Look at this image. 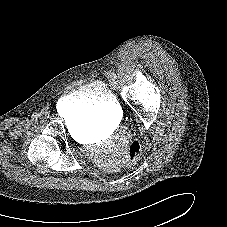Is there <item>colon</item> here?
<instances>
[{
	"instance_id": "1",
	"label": "colon",
	"mask_w": 227,
	"mask_h": 227,
	"mask_svg": "<svg viewBox=\"0 0 227 227\" xmlns=\"http://www.w3.org/2000/svg\"><path fill=\"white\" fill-rule=\"evenodd\" d=\"M141 151L142 148L139 142L135 140L128 142L127 162L129 165H133L138 161Z\"/></svg>"
}]
</instances>
